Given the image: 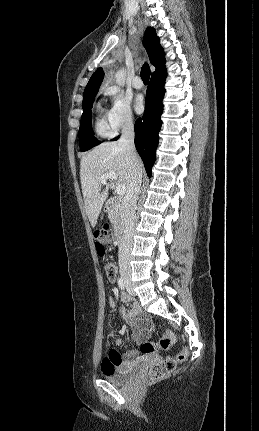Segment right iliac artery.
Returning a JSON list of instances; mask_svg holds the SVG:
<instances>
[{"mask_svg":"<svg viewBox=\"0 0 259 431\" xmlns=\"http://www.w3.org/2000/svg\"><path fill=\"white\" fill-rule=\"evenodd\" d=\"M118 286H119V288H120L121 290H124V289H125V284H124V282H123V279H122V278H119V279H118Z\"/></svg>","mask_w":259,"mask_h":431,"instance_id":"1","label":"right iliac artery"}]
</instances>
